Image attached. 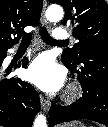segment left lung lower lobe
I'll return each instance as SVG.
<instances>
[{
  "instance_id": "obj_1",
  "label": "left lung lower lobe",
  "mask_w": 108,
  "mask_h": 127,
  "mask_svg": "<svg viewBox=\"0 0 108 127\" xmlns=\"http://www.w3.org/2000/svg\"><path fill=\"white\" fill-rule=\"evenodd\" d=\"M66 66L78 75L83 95L69 106L52 105L49 124L88 119L108 126V53L98 59L85 58L79 69Z\"/></svg>"
}]
</instances>
